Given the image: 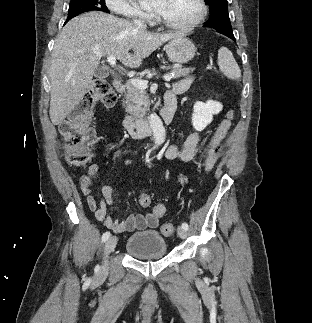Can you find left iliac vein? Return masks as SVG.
<instances>
[{
	"mask_svg": "<svg viewBox=\"0 0 312 323\" xmlns=\"http://www.w3.org/2000/svg\"><path fill=\"white\" fill-rule=\"evenodd\" d=\"M178 235L180 238L185 239L187 237V232L184 228L179 227L178 228Z\"/></svg>",
	"mask_w": 312,
	"mask_h": 323,
	"instance_id": "4c4485c4",
	"label": "left iliac vein"
}]
</instances>
